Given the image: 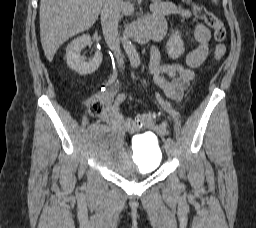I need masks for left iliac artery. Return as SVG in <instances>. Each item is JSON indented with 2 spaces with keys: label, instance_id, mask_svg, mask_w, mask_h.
<instances>
[{
  "label": "left iliac artery",
  "instance_id": "44dca946",
  "mask_svg": "<svg viewBox=\"0 0 256 228\" xmlns=\"http://www.w3.org/2000/svg\"><path fill=\"white\" fill-rule=\"evenodd\" d=\"M166 140L169 141V142H171V143H173V139L170 138V137H168Z\"/></svg>",
  "mask_w": 256,
  "mask_h": 228
}]
</instances>
